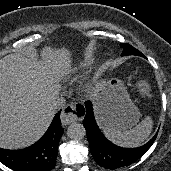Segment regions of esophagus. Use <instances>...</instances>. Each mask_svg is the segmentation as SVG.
<instances>
[{
	"label": "esophagus",
	"mask_w": 171,
	"mask_h": 171,
	"mask_svg": "<svg viewBox=\"0 0 171 171\" xmlns=\"http://www.w3.org/2000/svg\"><path fill=\"white\" fill-rule=\"evenodd\" d=\"M79 120L77 110L74 104L67 105L61 114V122L63 125H68Z\"/></svg>",
	"instance_id": "34e87169"
}]
</instances>
